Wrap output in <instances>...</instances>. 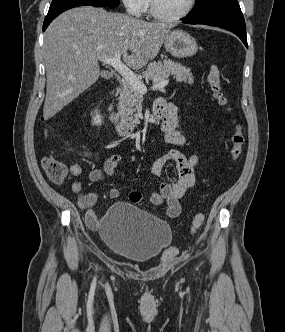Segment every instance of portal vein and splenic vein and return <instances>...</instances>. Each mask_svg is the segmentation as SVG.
Listing matches in <instances>:
<instances>
[{
	"label": "portal vein and splenic vein",
	"mask_w": 285,
	"mask_h": 332,
	"mask_svg": "<svg viewBox=\"0 0 285 332\" xmlns=\"http://www.w3.org/2000/svg\"><path fill=\"white\" fill-rule=\"evenodd\" d=\"M104 64L112 66L116 71H118L124 79L139 93L145 94L147 92V87L142 81L131 71L124 63L121 61V55L118 54L113 58L100 59ZM169 83L167 79H157L155 84L151 87L153 90H162Z\"/></svg>",
	"instance_id": "1"
}]
</instances>
